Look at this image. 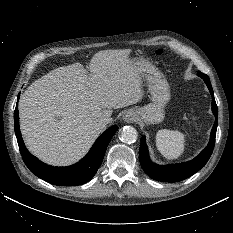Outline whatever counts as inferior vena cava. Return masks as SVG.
<instances>
[{"mask_svg":"<svg viewBox=\"0 0 233 233\" xmlns=\"http://www.w3.org/2000/svg\"><path fill=\"white\" fill-rule=\"evenodd\" d=\"M111 122H112V118L110 116H102L98 120V126H100L101 128H104Z\"/></svg>","mask_w":233,"mask_h":233,"instance_id":"inferior-vena-cava-1","label":"inferior vena cava"}]
</instances>
